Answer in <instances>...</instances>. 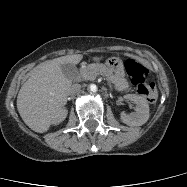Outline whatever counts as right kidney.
Listing matches in <instances>:
<instances>
[{
  "label": "right kidney",
  "mask_w": 187,
  "mask_h": 187,
  "mask_svg": "<svg viewBox=\"0 0 187 187\" xmlns=\"http://www.w3.org/2000/svg\"><path fill=\"white\" fill-rule=\"evenodd\" d=\"M67 116V111L65 109H62L60 113L58 114L57 118L55 119L54 123L58 124L62 122Z\"/></svg>",
  "instance_id": "obj_1"
}]
</instances>
